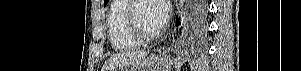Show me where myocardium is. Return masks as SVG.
Listing matches in <instances>:
<instances>
[{"mask_svg": "<svg viewBox=\"0 0 301 71\" xmlns=\"http://www.w3.org/2000/svg\"><path fill=\"white\" fill-rule=\"evenodd\" d=\"M145 0H131L126 11L125 20L129 33L140 43L151 42L159 37L160 30L148 33L145 32L139 25L136 19V10L139 3Z\"/></svg>", "mask_w": 301, "mask_h": 71, "instance_id": "myocardium-1", "label": "myocardium"}]
</instances>
